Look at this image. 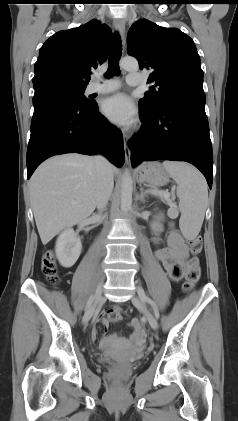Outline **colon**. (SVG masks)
<instances>
[{"mask_svg": "<svg viewBox=\"0 0 238 421\" xmlns=\"http://www.w3.org/2000/svg\"><path fill=\"white\" fill-rule=\"evenodd\" d=\"M188 244L191 247L193 253L197 254L202 248V240L199 236L188 239ZM42 270L47 279L56 284L59 282L58 267L52 252H47L42 261ZM201 276V268L199 261L196 257H192L186 265L185 282L183 284V290L189 292L193 289L195 284L198 282Z\"/></svg>", "mask_w": 238, "mask_h": 421, "instance_id": "obj_1", "label": "colon"}]
</instances>
